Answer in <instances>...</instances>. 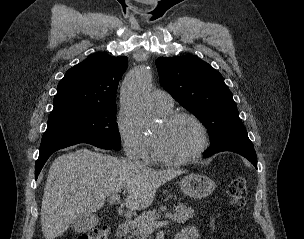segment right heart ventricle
<instances>
[{
	"instance_id": "e07e8e85",
	"label": "right heart ventricle",
	"mask_w": 304,
	"mask_h": 239,
	"mask_svg": "<svg viewBox=\"0 0 304 239\" xmlns=\"http://www.w3.org/2000/svg\"><path fill=\"white\" fill-rule=\"evenodd\" d=\"M158 112L162 115H166V114H169L172 112V108L171 109H167V110H164V109H157Z\"/></svg>"
}]
</instances>
